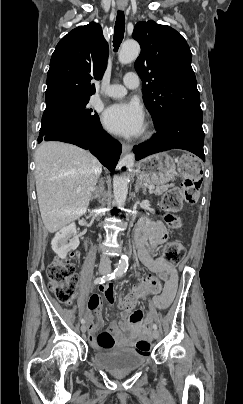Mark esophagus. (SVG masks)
<instances>
[{"instance_id":"1","label":"esophagus","mask_w":243,"mask_h":404,"mask_svg":"<svg viewBox=\"0 0 243 404\" xmlns=\"http://www.w3.org/2000/svg\"><path fill=\"white\" fill-rule=\"evenodd\" d=\"M119 8H124V7H119ZM131 148H132V145L123 143L122 144L123 154H126L127 152H129L131 150Z\"/></svg>"}]
</instances>
